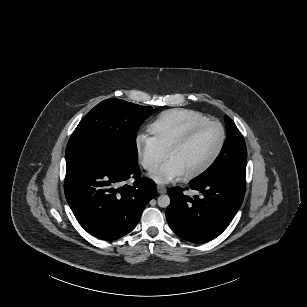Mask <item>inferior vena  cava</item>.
I'll return each mask as SVG.
<instances>
[{
  "label": "inferior vena cava",
  "mask_w": 307,
  "mask_h": 307,
  "mask_svg": "<svg viewBox=\"0 0 307 307\" xmlns=\"http://www.w3.org/2000/svg\"><path fill=\"white\" fill-rule=\"evenodd\" d=\"M142 166H143L145 169L149 170V169L153 168L154 164L149 163V162H147V161H143V162H142Z\"/></svg>",
  "instance_id": "1"
}]
</instances>
